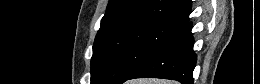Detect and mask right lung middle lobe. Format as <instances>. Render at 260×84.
<instances>
[{"label":"right lung middle lobe","instance_id":"dd1d6c3e","mask_svg":"<svg viewBox=\"0 0 260 84\" xmlns=\"http://www.w3.org/2000/svg\"><path fill=\"white\" fill-rule=\"evenodd\" d=\"M177 30L158 24H136L95 41L92 84H121Z\"/></svg>","mask_w":260,"mask_h":84}]
</instances>
